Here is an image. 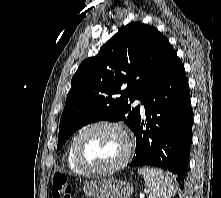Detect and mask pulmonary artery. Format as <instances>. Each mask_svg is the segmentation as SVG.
Wrapping results in <instances>:
<instances>
[{"label": "pulmonary artery", "mask_w": 221, "mask_h": 198, "mask_svg": "<svg viewBox=\"0 0 221 198\" xmlns=\"http://www.w3.org/2000/svg\"><path fill=\"white\" fill-rule=\"evenodd\" d=\"M135 105H139L140 106V109H141V112L144 114L145 113V108H144V105L142 104V102L140 100H136L135 101Z\"/></svg>", "instance_id": "obj_1"}]
</instances>
